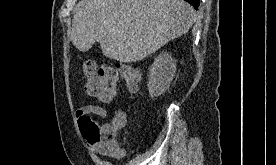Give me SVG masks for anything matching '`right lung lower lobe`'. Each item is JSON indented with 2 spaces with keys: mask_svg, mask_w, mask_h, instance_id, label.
<instances>
[{
  "mask_svg": "<svg viewBox=\"0 0 276 165\" xmlns=\"http://www.w3.org/2000/svg\"><path fill=\"white\" fill-rule=\"evenodd\" d=\"M187 1L188 3H190L196 10L199 6V3H200V0H185Z\"/></svg>",
  "mask_w": 276,
  "mask_h": 165,
  "instance_id": "98d812e1",
  "label": "right lung lower lobe"
}]
</instances>
